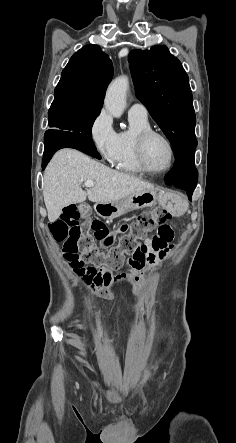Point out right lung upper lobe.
Segmentation results:
<instances>
[{
  "mask_svg": "<svg viewBox=\"0 0 236 443\" xmlns=\"http://www.w3.org/2000/svg\"><path fill=\"white\" fill-rule=\"evenodd\" d=\"M112 77L113 64L109 56L98 45H86L73 54L62 71L52 105L100 110Z\"/></svg>",
  "mask_w": 236,
  "mask_h": 443,
  "instance_id": "obj_1",
  "label": "right lung upper lobe"
}]
</instances>
